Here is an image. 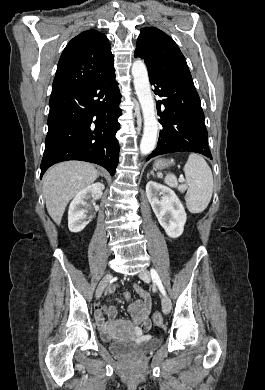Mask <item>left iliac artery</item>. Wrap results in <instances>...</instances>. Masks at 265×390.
<instances>
[{"label":"left iliac artery","instance_id":"left-iliac-artery-1","mask_svg":"<svg viewBox=\"0 0 265 390\" xmlns=\"http://www.w3.org/2000/svg\"><path fill=\"white\" fill-rule=\"evenodd\" d=\"M151 277H152V280L158 285L160 291L165 294V289L162 285V282L160 280V277L158 275V273L156 272L155 269H151Z\"/></svg>","mask_w":265,"mask_h":390}]
</instances>
